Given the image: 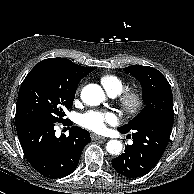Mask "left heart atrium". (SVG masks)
Here are the masks:
<instances>
[{
	"label": "left heart atrium",
	"instance_id": "obj_1",
	"mask_svg": "<svg viewBox=\"0 0 194 194\" xmlns=\"http://www.w3.org/2000/svg\"><path fill=\"white\" fill-rule=\"evenodd\" d=\"M117 122V116L109 111H89L81 117L82 126L95 132H103L108 124L115 125Z\"/></svg>",
	"mask_w": 194,
	"mask_h": 194
}]
</instances>
